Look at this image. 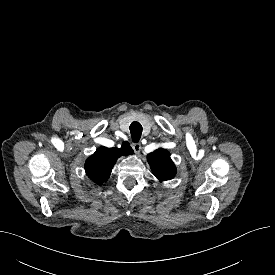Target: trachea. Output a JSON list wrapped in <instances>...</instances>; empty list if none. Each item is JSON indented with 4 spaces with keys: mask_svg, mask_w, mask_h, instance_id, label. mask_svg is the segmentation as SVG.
<instances>
[{
    "mask_svg": "<svg viewBox=\"0 0 275 275\" xmlns=\"http://www.w3.org/2000/svg\"><path fill=\"white\" fill-rule=\"evenodd\" d=\"M130 132H131V136H132V141L134 143H137L141 138L142 125L136 121L132 122L130 125Z\"/></svg>",
    "mask_w": 275,
    "mask_h": 275,
    "instance_id": "3493384b",
    "label": "trachea"
}]
</instances>
